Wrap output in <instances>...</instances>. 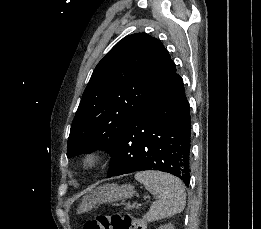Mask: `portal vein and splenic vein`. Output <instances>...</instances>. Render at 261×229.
<instances>
[{
    "instance_id": "18ae733b",
    "label": "portal vein and splenic vein",
    "mask_w": 261,
    "mask_h": 229,
    "mask_svg": "<svg viewBox=\"0 0 261 229\" xmlns=\"http://www.w3.org/2000/svg\"><path fill=\"white\" fill-rule=\"evenodd\" d=\"M133 207L134 208H141V207H143V204H141V203H134Z\"/></svg>"
}]
</instances>
